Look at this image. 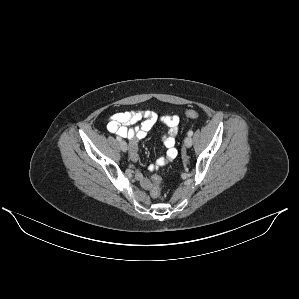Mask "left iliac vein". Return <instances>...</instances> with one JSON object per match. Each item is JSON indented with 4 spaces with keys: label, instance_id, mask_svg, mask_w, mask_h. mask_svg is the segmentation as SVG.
I'll return each instance as SVG.
<instances>
[{
    "label": "left iliac vein",
    "instance_id": "1",
    "mask_svg": "<svg viewBox=\"0 0 299 299\" xmlns=\"http://www.w3.org/2000/svg\"><path fill=\"white\" fill-rule=\"evenodd\" d=\"M192 138L191 136H187L185 139H184V145L185 147L189 148L192 146Z\"/></svg>",
    "mask_w": 299,
    "mask_h": 299
}]
</instances>
